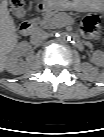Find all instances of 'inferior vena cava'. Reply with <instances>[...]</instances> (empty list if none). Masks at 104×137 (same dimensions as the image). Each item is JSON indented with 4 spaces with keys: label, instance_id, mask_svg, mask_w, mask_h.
<instances>
[{
    "label": "inferior vena cava",
    "instance_id": "1",
    "mask_svg": "<svg viewBox=\"0 0 104 137\" xmlns=\"http://www.w3.org/2000/svg\"><path fill=\"white\" fill-rule=\"evenodd\" d=\"M48 37V33L41 31V30H36L34 33L31 35V41L32 43H39L46 39Z\"/></svg>",
    "mask_w": 104,
    "mask_h": 137
}]
</instances>
